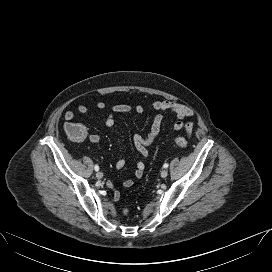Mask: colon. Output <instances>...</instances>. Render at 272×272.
Instances as JSON below:
<instances>
[{
	"label": "colon",
	"mask_w": 272,
	"mask_h": 272,
	"mask_svg": "<svg viewBox=\"0 0 272 272\" xmlns=\"http://www.w3.org/2000/svg\"><path fill=\"white\" fill-rule=\"evenodd\" d=\"M65 132L67 136L73 141H82L87 136V131L85 127L76 122H68L65 124ZM175 145L181 149L187 146V140L184 137H176Z\"/></svg>",
	"instance_id": "colon-1"
}]
</instances>
